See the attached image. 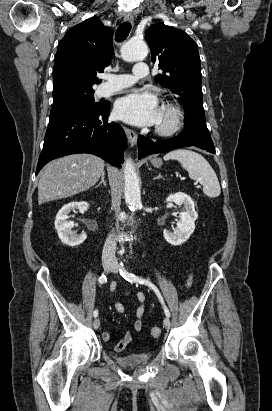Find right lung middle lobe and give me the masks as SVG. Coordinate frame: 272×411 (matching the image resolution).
<instances>
[{"label":"right lung middle lobe","mask_w":272,"mask_h":411,"mask_svg":"<svg viewBox=\"0 0 272 411\" xmlns=\"http://www.w3.org/2000/svg\"><path fill=\"white\" fill-rule=\"evenodd\" d=\"M101 102H95L94 90L86 89L72 93L67 99L54 102L50 119L81 109L98 107Z\"/></svg>","instance_id":"right-lung-middle-lobe-1"}]
</instances>
